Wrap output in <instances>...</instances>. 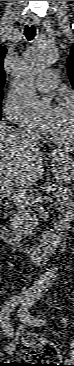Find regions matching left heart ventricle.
Returning a JSON list of instances; mask_svg holds the SVG:
<instances>
[{"mask_svg": "<svg viewBox=\"0 0 74 366\" xmlns=\"http://www.w3.org/2000/svg\"><path fill=\"white\" fill-rule=\"evenodd\" d=\"M49 130L60 137H70L72 135V113L69 106H59L57 117Z\"/></svg>", "mask_w": 74, "mask_h": 366, "instance_id": "b2bd125f", "label": "left heart ventricle"}]
</instances>
